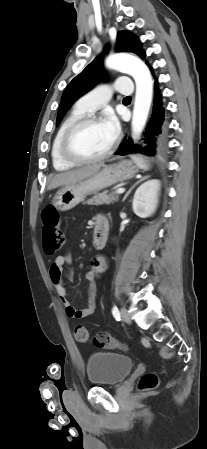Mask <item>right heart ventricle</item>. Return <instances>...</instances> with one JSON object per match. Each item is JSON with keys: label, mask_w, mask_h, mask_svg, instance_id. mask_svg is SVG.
I'll return each instance as SVG.
<instances>
[{"label": "right heart ventricle", "mask_w": 207, "mask_h": 449, "mask_svg": "<svg viewBox=\"0 0 207 449\" xmlns=\"http://www.w3.org/2000/svg\"><path fill=\"white\" fill-rule=\"evenodd\" d=\"M86 113L75 107L72 112L64 119L59 129L57 130L52 146H51V158L53 167L58 171L68 170L73 167L74 164L68 163L63 159L60 153V142L65 130L77 119L84 117Z\"/></svg>", "instance_id": "right-heart-ventricle-1"}]
</instances>
